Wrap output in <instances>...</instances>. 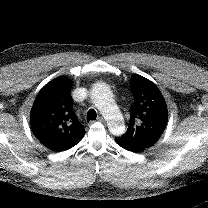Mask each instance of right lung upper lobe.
Here are the masks:
<instances>
[{
	"instance_id": "obj_1",
	"label": "right lung upper lobe",
	"mask_w": 208,
	"mask_h": 208,
	"mask_svg": "<svg viewBox=\"0 0 208 208\" xmlns=\"http://www.w3.org/2000/svg\"><path fill=\"white\" fill-rule=\"evenodd\" d=\"M72 84L65 76L50 81L38 93L30 113L34 135L56 152L70 149L85 135V129L73 110Z\"/></svg>"
}]
</instances>
